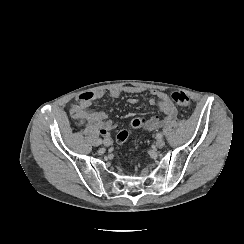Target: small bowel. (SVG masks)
Returning a JSON list of instances; mask_svg holds the SVG:
<instances>
[{
    "instance_id": "obj_1",
    "label": "small bowel",
    "mask_w": 244,
    "mask_h": 244,
    "mask_svg": "<svg viewBox=\"0 0 244 244\" xmlns=\"http://www.w3.org/2000/svg\"><path fill=\"white\" fill-rule=\"evenodd\" d=\"M142 90L140 88L134 87H124V88H112L108 91V95L112 98H117L124 93H138ZM147 93L152 96L148 100L150 105H157L160 111L163 113L164 117L153 116L149 118V125L143 127V129L148 131H154L162 127L166 122L175 119L179 115L178 108L172 103L166 92L159 89H148ZM92 95V99L101 98L104 95L103 91H97ZM131 103H136V99H130ZM81 108L88 120V126L99 128L100 132L103 134H109L116 129V125L111 121L107 113L99 110H89V102H77L75 101L71 107Z\"/></svg>"
}]
</instances>
